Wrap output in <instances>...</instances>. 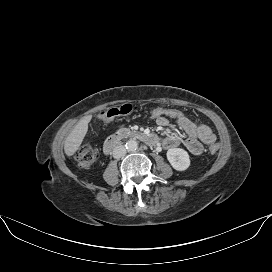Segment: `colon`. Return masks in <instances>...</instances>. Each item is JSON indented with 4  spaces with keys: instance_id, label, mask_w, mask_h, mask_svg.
Masks as SVG:
<instances>
[{
    "instance_id": "1",
    "label": "colon",
    "mask_w": 272,
    "mask_h": 272,
    "mask_svg": "<svg viewBox=\"0 0 272 272\" xmlns=\"http://www.w3.org/2000/svg\"><path fill=\"white\" fill-rule=\"evenodd\" d=\"M137 107L131 104H123L120 106L111 107L103 111L100 115L103 121H110L118 116H124L136 111ZM149 116L152 119L166 118L180 120L186 118V115L178 110L173 108H155L149 112ZM219 146L217 144H212L209 147V152L211 154L217 153ZM99 153L96 147L90 143L83 144L76 152L75 159L77 163L84 168L90 167L98 158Z\"/></svg>"
}]
</instances>
